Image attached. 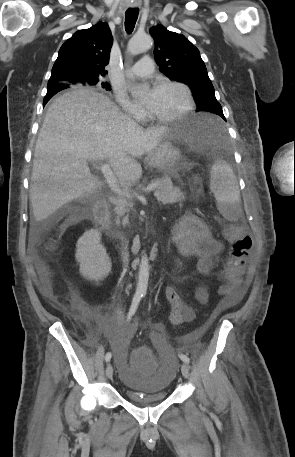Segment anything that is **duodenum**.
I'll return each mask as SVG.
<instances>
[{
  "instance_id": "obj_1",
  "label": "duodenum",
  "mask_w": 295,
  "mask_h": 457,
  "mask_svg": "<svg viewBox=\"0 0 295 457\" xmlns=\"http://www.w3.org/2000/svg\"><path fill=\"white\" fill-rule=\"evenodd\" d=\"M87 216H91L99 230L102 231L108 238H113L111 225L108 218V205L104 198L98 199L92 206L90 211L86 212Z\"/></svg>"
}]
</instances>
